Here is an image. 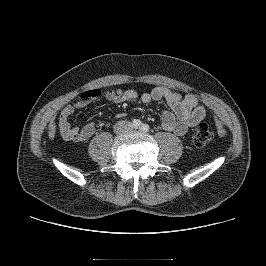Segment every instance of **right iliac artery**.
I'll return each mask as SVG.
<instances>
[{
  "label": "right iliac artery",
  "mask_w": 266,
  "mask_h": 266,
  "mask_svg": "<svg viewBox=\"0 0 266 266\" xmlns=\"http://www.w3.org/2000/svg\"><path fill=\"white\" fill-rule=\"evenodd\" d=\"M131 126L135 129H138L140 128L141 126V121L138 120V119H134L132 122H131Z\"/></svg>",
  "instance_id": "obj_1"
}]
</instances>
